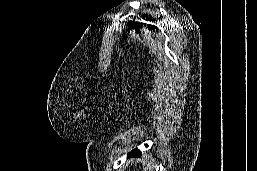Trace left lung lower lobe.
I'll use <instances>...</instances> for the list:
<instances>
[{
    "mask_svg": "<svg viewBox=\"0 0 257 171\" xmlns=\"http://www.w3.org/2000/svg\"><path fill=\"white\" fill-rule=\"evenodd\" d=\"M141 152L138 150V149H135V150H132L131 153L129 154V156L131 155H138L140 154Z\"/></svg>",
    "mask_w": 257,
    "mask_h": 171,
    "instance_id": "left-lung-lower-lobe-1",
    "label": "left lung lower lobe"
}]
</instances>
